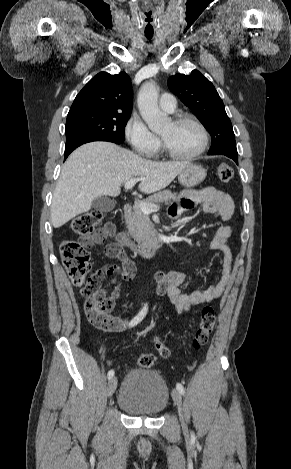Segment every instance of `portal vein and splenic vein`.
<instances>
[{
	"instance_id": "1",
	"label": "portal vein and splenic vein",
	"mask_w": 291,
	"mask_h": 469,
	"mask_svg": "<svg viewBox=\"0 0 291 469\" xmlns=\"http://www.w3.org/2000/svg\"><path fill=\"white\" fill-rule=\"evenodd\" d=\"M140 180L141 179H139V178L130 179L129 181H127L125 183V185H124L125 189L128 190V189L132 188ZM140 208H141L143 213L149 214V213H152V212L158 210L159 206L158 205H150V204L140 202Z\"/></svg>"
}]
</instances>
